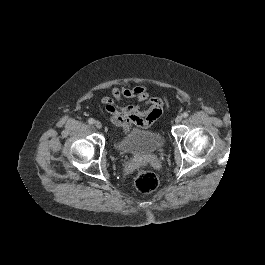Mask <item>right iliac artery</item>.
<instances>
[{
  "label": "right iliac artery",
  "instance_id": "right-iliac-artery-1",
  "mask_svg": "<svg viewBox=\"0 0 265 265\" xmlns=\"http://www.w3.org/2000/svg\"><path fill=\"white\" fill-rule=\"evenodd\" d=\"M88 123H89V124H93V123H94V119H93V118H89V119H88Z\"/></svg>",
  "mask_w": 265,
  "mask_h": 265
}]
</instances>
